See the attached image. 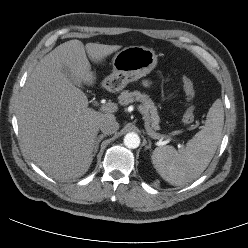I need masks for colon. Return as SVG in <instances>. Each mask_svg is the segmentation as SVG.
Segmentation results:
<instances>
[{
  "instance_id": "1",
  "label": "colon",
  "mask_w": 248,
  "mask_h": 248,
  "mask_svg": "<svg viewBox=\"0 0 248 248\" xmlns=\"http://www.w3.org/2000/svg\"><path fill=\"white\" fill-rule=\"evenodd\" d=\"M183 88L189 99H193L195 95L194 85L192 81L188 78L183 79ZM195 119V108L193 105L189 106L183 115V123L186 125H190L193 123Z\"/></svg>"
}]
</instances>
